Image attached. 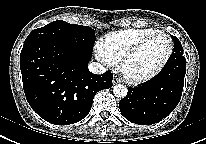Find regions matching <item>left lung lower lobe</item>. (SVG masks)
I'll return each mask as SVG.
<instances>
[{
	"label": "left lung lower lobe",
	"instance_id": "left-lung-lower-lobe-1",
	"mask_svg": "<svg viewBox=\"0 0 206 144\" xmlns=\"http://www.w3.org/2000/svg\"><path fill=\"white\" fill-rule=\"evenodd\" d=\"M186 61L181 52H173L152 80L128 89L120 103L121 114L139 125H152L168 116L178 105L184 86Z\"/></svg>",
	"mask_w": 206,
	"mask_h": 144
}]
</instances>
